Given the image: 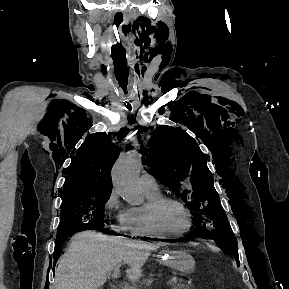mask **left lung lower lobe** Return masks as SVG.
Listing matches in <instances>:
<instances>
[{"instance_id": "left-lung-lower-lobe-1", "label": "left lung lower lobe", "mask_w": 289, "mask_h": 289, "mask_svg": "<svg viewBox=\"0 0 289 289\" xmlns=\"http://www.w3.org/2000/svg\"><path fill=\"white\" fill-rule=\"evenodd\" d=\"M191 237H205V238H212L213 239V237L211 235H209V234L196 233V232H190L186 237L181 238V239H183V241H189ZM170 242H175V240H171Z\"/></svg>"}]
</instances>
